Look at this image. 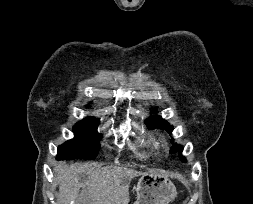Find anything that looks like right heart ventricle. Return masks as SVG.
<instances>
[{
  "label": "right heart ventricle",
  "mask_w": 253,
  "mask_h": 204,
  "mask_svg": "<svg viewBox=\"0 0 253 204\" xmlns=\"http://www.w3.org/2000/svg\"><path fill=\"white\" fill-rule=\"evenodd\" d=\"M149 144L152 145L153 147L157 148L158 147V142L155 139H149Z\"/></svg>",
  "instance_id": "right-heart-ventricle-1"
}]
</instances>
